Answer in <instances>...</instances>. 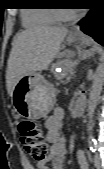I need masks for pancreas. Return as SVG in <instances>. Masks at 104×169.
<instances>
[{
	"mask_svg": "<svg viewBox=\"0 0 104 169\" xmlns=\"http://www.w3.org/2000/svg\"><path fill=\"white\" fill-rule=\"evenodd\" d=\"M62 65V72L61 73H56L55 76L57 79H63L67 77L69 74L74 72L75 65L71 60H64L61 62Z\"/></svg>",
	"mask_w": 104,
	"mask_h": 169,
	"instance_id": "obj_1",
	"label": "pancreas"
}]
</instances>
